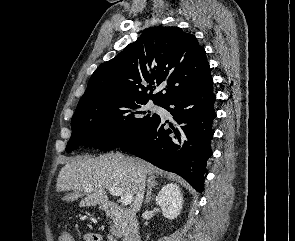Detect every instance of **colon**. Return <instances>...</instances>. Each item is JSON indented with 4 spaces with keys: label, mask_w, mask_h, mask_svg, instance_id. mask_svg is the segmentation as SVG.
Listing matches in <instances>:
<instances>
[{
    "label": "colon",
    "mask_w": 295,
    "mask_h": 241,
    "mask_svg": "<svg viewBox=\"0 0 295 241\" xmlns=\"http://www.w3.org/2000/svg\"><path fill=\"white\" fill-rule=\"evenodd\" d=\"M59 241H74V238L70 232L63 231L59 236Z\"/></svg>",
    "instance_id": "obj_1"
}]
</instances>
